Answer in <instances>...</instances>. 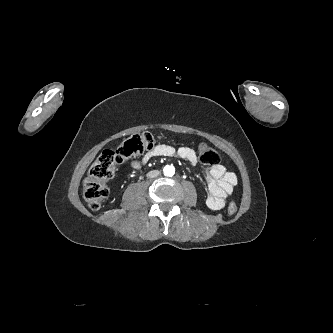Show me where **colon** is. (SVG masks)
Returning <instances> with one entry per match:
<instances>
[{
	"label": "colon",
	"mask_w": 333,
	"mask_h": 333,
	"mask_svg": "<svg viewBox=\"0 0 333 333\" xmlns=\"http://www.w3.org/2000/svg\"><path fill=\"white\" fill-rule=\"evenodd\" d=\"M157 137L149 132L137 133L126 138L116 149L105 150L91 166L83 183V195L92 210H99L107 197V181L116 167L146 151L151 150ZM197 154L201 163L218 165L219 154L205 143L198 145ZM238 205L231 202L227 208L230 215L237 212Z\"/></svg>",
	"instance_id": "obj_1"
}]
</instances>
